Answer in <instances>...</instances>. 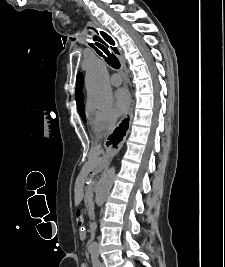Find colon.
<instances>
[{"mask_svg": "<svg viewBox=\"0 0 225 267\" xmlns=\"http://www.w3.org/2000/svg\"><path fill=\"white\" fill-rule=\"evenodd\" d=\"M75 219H76V223L79 227H82L83 226V223H84V218H83V215L80 211H77L76 214H75Z\"/></svg>", "mask_w": 225, "mask_h": 267, "instance_id": "colon-1", "label": "colon"}]
</instances>
